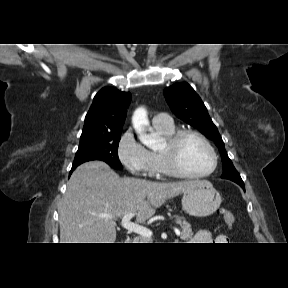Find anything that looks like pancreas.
Instances as JSON below:
<instances>
[{"instance_id": "obj_1", "label": "pancreas", "mask_w": 288, "mask_h": 288, "mask_svg": "<svg viewBox=\"0 0 288 288\" xmlns=\"http://www.w3.org/2000/svg\"><path fill=\"white\" fill-rule=\"evenodd\" d=\"M176 223L180 225L182 232H181V239L184 241L190 240L193 236V232L191 229V226L188 222H186L183 218H178L176 220ZM137 241H140L138 243H148V238L140 236L136 239Z\"/></svg>"}]
</instances>
